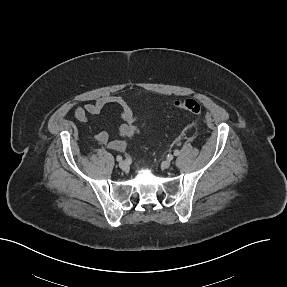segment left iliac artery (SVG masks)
Segmentation results:
<instances>
[{
  "instance_id": "44dca946",
  "label": "left iliac artery",
  "mask_w": 287,
  "mask_h": 287,
  "mask_svg": "<svg viewBox=\"0 0 287 287\" xmlns=\"http://www.w3.org/2000/svg\"><path fill=\"white\" fill-rule=\"evenodd\" d=\"M179 153H180L179 150H175V151H174V155H175V156H178Z\"/></svg>"
}]
</instances>
